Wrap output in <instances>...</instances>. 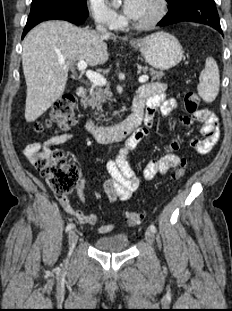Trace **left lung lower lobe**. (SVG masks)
<instances>
[{
    "label": "left lung lower lobe",
    "instance_id": "0a47b994",
    "mask_svg": "<svg viewBox=\"0 0 232 311\" xmlns=\"http://www.w3.org/2000/svg\"><path fill=\"white\" fill-rule=\"evenodd\" d=\"M182 21L206 24L222 33L214 0H174L157 25L162 27Z\"/></svg>",
    "mask_w": 232,
    "mask_h": 311
}]
</instances>
